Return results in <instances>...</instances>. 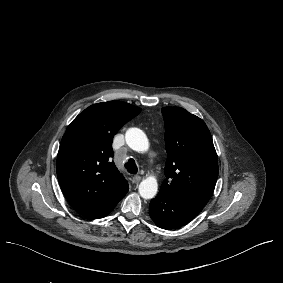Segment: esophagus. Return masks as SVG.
<instances>
[{"label":"esophagus","instance_id":"obj_1","mask_svg":"<svg viewBox=\"0 0 283 283\" xmlns=\"http://www.w3.org/2000/svg\"><path fill=\"white\" fill-rule=\"evenodd\" d=\"M141 179H142L141 176L135 175V176H133L132 181H133V183H139L141 181Z\"/></svg>","mask_w":283,"mask_h":283}]
</instances>
